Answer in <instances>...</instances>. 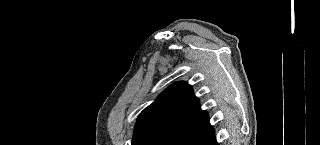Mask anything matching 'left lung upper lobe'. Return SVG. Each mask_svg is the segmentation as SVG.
Instances as JSON below:
<instances>
[{"mask_svg": "<svg viewBox=\"0 0 320 145\" xmlns=\"http://www.w3.org/2000/svg\"><path fill=\"white\" fill-rule=\"evenodd\" d=\"M209 121L192 87L178 82L144 109L135 125L132 145H179L193 130Z\"/></svg>", "mask_w": 320, "mask_h": 145, "instance_id": "5c2ea615", "label": "left lung upper lobe"}]
</instances>
